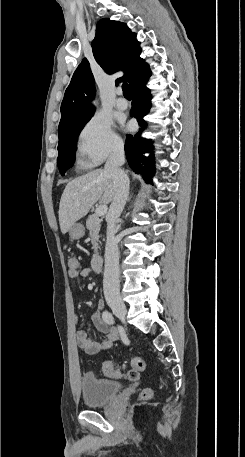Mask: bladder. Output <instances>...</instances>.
I'll list each match as a JSON object with an SVG mask.
<instances>
[{
	"label": "bladder",
	"instance_id": "31cf9c89",
	"mask_svg": "<svg viewBox=\"0 0 245 457\" xmlns=\"http://www.w3.org/2000/svg\"><path fill=\"white\" fill-rule=\"evenodd\" d=\"M81 385L85 406L105 405L111 396L118 395L120 391L119 382L99 380L92 374L84 375Z\"/></svg>",
	"mask_w": 245,
	"mask_h": 457
}]
</instances>
